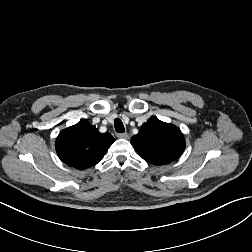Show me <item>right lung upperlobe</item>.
Returning <instances> with one entry per match:
<instances>
[{"mask_svg": "<svg viewBox=\"0 0 252 252\" xmlns=\"http://www.w3.org/2000/svg\"><path fill=\"white\" fill-rule=\"evenodd\" d=\"M114 141L109 133H100L88 120H81L62 130L55 146L65 164L84 170L97 164Z\"/></svg>", "mask_w": 252, "mask_h": 252, "instance_id": "obj_1", "label": "right lung upper lobe"}]
</instances>
